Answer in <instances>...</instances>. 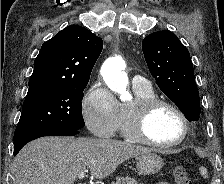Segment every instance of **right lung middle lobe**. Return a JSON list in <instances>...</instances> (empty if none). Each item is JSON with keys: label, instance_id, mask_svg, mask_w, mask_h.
<instances>
[{"label": "right lung middle lobe", "instance_id": "1", "mask_svg": "<svg viewBox=\"0 0 224 184\" xmlns=\"http://www.w3.org/2000/svg\"><path fill=\"white\" fill-rule=\"evenodd\" d=\"M86 85L87 83L29 86L22 114L14 133V143L23 136L37 131L81 129L85 125L81 101Z\"/></svg>", "mask_w": 224, "mask_h": 184}]
</instances>
